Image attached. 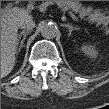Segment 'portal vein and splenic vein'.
I'll return each instance as SVG.
<instances>
[{"label": "portal vein and splenic vein", "instance_id": "1", "mask_svg": "<svg viewBox=\"0 0 109 109\" xmlns=\"http://www.w3.org/2000/svg\"><path fill=\"white\" fill-rule=\"evenodd\" d=\"M26 11L24 8L22 7H8L6 6V8L3 10V13H2V16L3 17H6L8 15H13V14H17V13H22ZM68 12L69 15L75 20V21H78L77 17L71 12V11H68V10H64V12Z\"/></svg>", "mask_w": 109, "mask_h": 109}]
</instances>
